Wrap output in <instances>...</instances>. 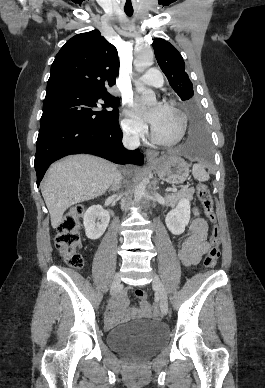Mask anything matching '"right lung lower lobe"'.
<instances>
[{"label":"right lung lower lobe","mask_w":265,"mask_h":388,"mask_svg":"<svg viewBox=\"0 0 265 388\" xmlns=\"http://www.w3.org/2000/svg\"><path fill=\"white\" fill-rule=\"evenodd\" d=\"M75 153L97 155L118 164L143 163V155L138 149L129 151L123 147L118 121L105 127L91 122L53 123L39 130L34 161L37 185L50 164Z\"/></svg>","instance_id":"98d812e1"}]
</instances>
